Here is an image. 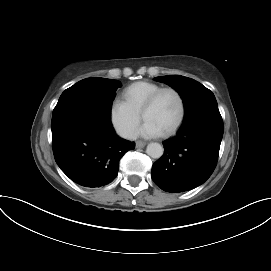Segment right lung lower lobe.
<instances>
[{
  "label": "right lung lower lobe",
  "instance_id": "obj_1",
  "mask_svg": "<svg viewBox=\"0 0 271 271\" xmlns=\"http://www.w3.org/2000/svg\"><path fill=\"white\" fill-rule=\"evenodd\" d=\"M57 165L75 183L100 187L112 182L119 160L135 143L118 137L103 111L69 116L51 124Z\"/></svg>",
  "mask_w": 271,
  "mask_h": 271
}]
</instances>
